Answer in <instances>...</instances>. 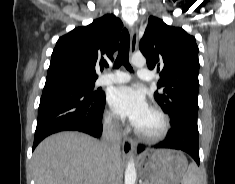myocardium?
Here are the masks:
<instances>
[{"mask_svg":"<svg viewBox=\"0 0 235 184\" xmlns=\"http://www.w3.org/2000/svg\"><path fill=\"white\" fill-rule=\"evenodd\" d=\"M150 109L155 112L161 120L160 129L153 134H143L137 128H134V134L137 139L143 142L154 143L165 139L171 129V121L168 114L159 106L152 105Z\"/></svg>","mask_w":235,"mask_h":184,"instance_id":"1","label":"myocardium"}]
</instances>
